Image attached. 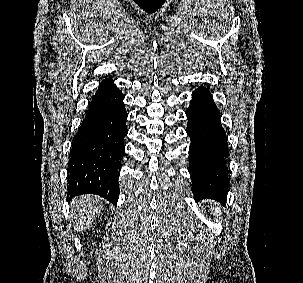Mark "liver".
<instances>
[{
    "label": "liver",
    "mask_w": 303,
    "mask_h": 283,
    "mask_svg": "<svg viewBox=\"0 0 303 283\" xmlns=\"http://www.w3.org/2000/svg\"><path fill=\"white\" fill-rule=\"evenodd\" d=\"M101 210H103V205L100 197L89 195L74 198L69 217L76 224L75 230H85L100 215Z\"/></svg>",
    "instance_id": "6515ba94"
}]
</instances>
